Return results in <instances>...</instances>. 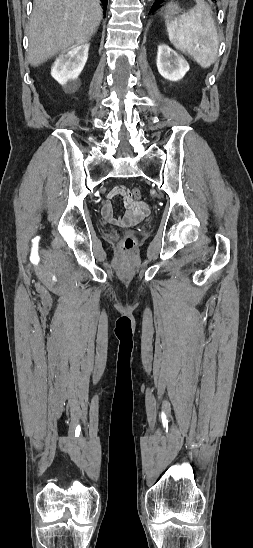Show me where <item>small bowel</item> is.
I'll return each mask as SVG.
<instances>
[{"label":"small bowel","instance_id":"small-bowel-1","mask_svg":"<svg viewBox=\"0 0 253 548\" xmlns=\"http://www.w3.org/2000/svg\"><path fill=\"white\" fill-rule=\"evenodd\" d=\"M117 196L124 197V207L126 212L119 217H115L113 214V206L111 200ZM149 213V206L143 201H135L130 192L124 186H116L112 188L102 201L101 214L103 218L117 226L133 225Z\"/></svg>","mask_w":253,"mask_h":548}]
</instances>
